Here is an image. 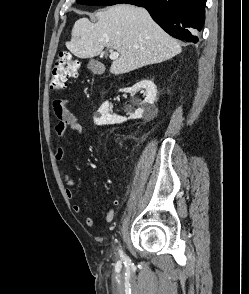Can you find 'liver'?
Returning a JSON list of instances; mask_svg holds the SVG:
<instances>
[{
    "label": "liver",
    "mask_w": 249,
    "mask_h": 294,
    "mask_svg": "<svg viewBox=\"0 0 249 294\" xmlns=\"http://www.w3.org/2000/svg\"><path fill=\"white\" fill-rule=\"evenodd\" d=\"M95 17L96 23L88 18L75 22L66 47L81 59L98 56L104 47L115 49L119 57L110 66L112 74L161 63L182 51L180 44L142 7L118 4L98 11Z\"/></svg>",
    "instance_id": "6515ba94"
}]
</instances>
